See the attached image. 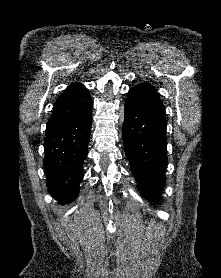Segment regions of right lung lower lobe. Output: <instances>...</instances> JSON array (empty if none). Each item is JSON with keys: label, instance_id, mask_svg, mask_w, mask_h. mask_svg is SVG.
Wrapping results in <instances>:
<instances>
[{"label": "right lung lower lobe", "instance_id": "right-lung-lower-lobe-1", "mask_svg": "<svg viewBox=\"0 0 221 278\" xmlns=\"http://www.w3.org/2000/svg\"><path fill=\"white\" fill-rule=\"evenodd\" d=\"M92 105L74 121L47 134L44 169L49 193L67 204L77 198L83 178L82 164L88 153Z\"/></svg>", "mask_w": 221, "mask_h": 278}]
</instances>
